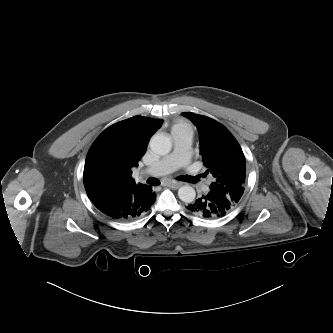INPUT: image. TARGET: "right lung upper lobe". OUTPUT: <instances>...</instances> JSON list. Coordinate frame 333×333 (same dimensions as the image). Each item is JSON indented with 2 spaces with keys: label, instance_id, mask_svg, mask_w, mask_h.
<instances>
[{
  "label": "right lung upper lobe",
  "instance_id": "cb5924a9",
  "mask_svg": "<svg viewBox=\"0 0 333 333\" xmlns=\"http://www.w3.org/2000/svg\"><path fill=\"white\" fill-rule=\"evenodd\" d=\"M162 123L161 119L134 116L100 134L89 149L84 166L83 180L89 198L107 193L127 195L148 187L135 183L132 167L138 165L150 137Z\"/></svg>",
  "mask_w": 333,
  "mask_h": 333
}]
</instances>
